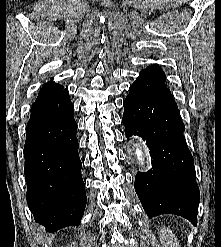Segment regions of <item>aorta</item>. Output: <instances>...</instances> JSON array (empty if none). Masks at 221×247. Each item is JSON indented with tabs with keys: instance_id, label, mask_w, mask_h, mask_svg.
Wrapping results in <instances>:
<instances>
[{
	"instance_id": "obj_1",
	"label": "aorta",
	"mask_w": 221,
	"mask_h": 247,
	"mask_svg": "<svg viewBox=\"0 0 221 247\" xmlns=\"http://www.w3.org/2000/svg\"><path fill=\"white\" fill-rule=\"evenodd\" d=\"M135 154L137 156L139 164L143 165L145 157H144V152H143L142 147L140 146V144H136Z\"/></svg>"
}]
</instances>
